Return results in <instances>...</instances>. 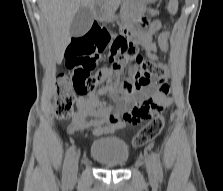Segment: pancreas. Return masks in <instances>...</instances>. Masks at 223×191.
<instances>
[{
  "label": "pancreas",
  "instance_id": "pancreas-1",
  "mask_svg": "<svg viewBox=\"0 0 223 191\" xmlns=\"http://www.w3.org/2000/svg\"><path fill=\"white\" fill-rule=\"evenodd\" d=\"M121 0H104L103 9L112 14L120 5Z\"/></svg>",
  "mask_w": 223,
  "mask_h": 191
}]
</instances>
